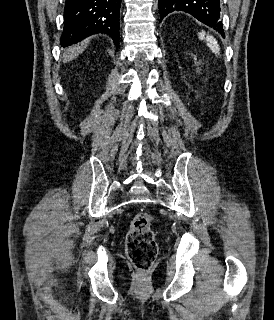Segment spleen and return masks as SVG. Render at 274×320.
I'll list each match as a JSON object with an SVG mask.
<instances>
[{
  "mask_svg": "<svg viewBox=\"0 0 274 320\" xmlns=\"http://www.w3.org/2000/svg\"><path fill=\"white\" fill-rule=\"evenodd\" d=\"M199 36V40H206V44L208 46V48H210V50H212L213 54H217V56H219L220 54V48L215 40V38H213V36H209V34H205V32H200V34H198ZM206 36V38H205Z\"/></svg>",
  "mask_w": 274,
  "mask_h": 320,
  "instance_id": "1",
  "label": "spleen"
}]
</instances>
